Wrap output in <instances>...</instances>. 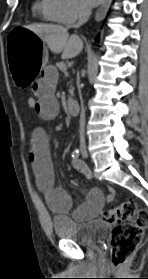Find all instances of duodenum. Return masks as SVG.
<instances>
[{"instance_id": "1", "label": "duodenum", "mask_w": 148, "mask_h": 279, "mask_svg": "<svg viewBox=\"0 0 148 279\" xmlns=\"http://www.w3.org/2000/svg\"><path fill=\"white\" fill-rule=\"evenodd\" d=\"M67 108H68L69 113H70L72 116H77V115H79L80 106H79V102H78L77 99H69V100L67 101Z\"/></svg>"}]
</instances>
